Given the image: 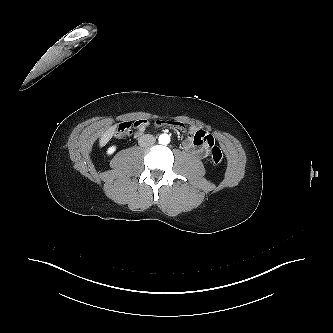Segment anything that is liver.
<instances>
[{
  "mask_svg": "<svg viewBox=\"0 0 333 333\" xmlns=\"http://www.w3.org/2000/svg\"><path fill=\"white\" fill-rule=\"evenodd\" d=\"M115 130H116V126H112V127H110V128L104 133V135L102 136V138H101V140H100V144H101V145L106 144V143L111 139V137L113 136Z\"/></svg>",
  "mask_w": 333,
  "mask_h": 333,
  "instance_id": "1",
  "label": "liver"
}]
</instances>
